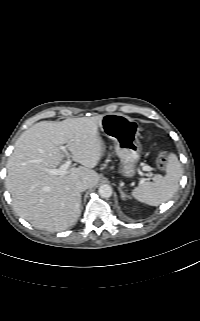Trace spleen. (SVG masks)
Segmentation results:
<instances>
[{"instance_id":"obj_1","label":"spleen","mask_w":200,"mask_h":321,"mask_svg":"<svg viewBox=\"0 0 200 321\" xmlns=\"http://www.w3.org/2000/svg\"><path fill=\"white\" fill-rule=\"evenodd\" d=\"M166 159L165 176H158L155 182L141 181L133 189L132 196L137 201L150 206H159L176 193L183 170L176 154L171 152Z\"/></svg>"}]
</instances>
